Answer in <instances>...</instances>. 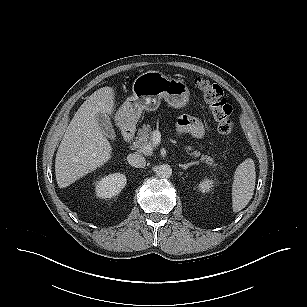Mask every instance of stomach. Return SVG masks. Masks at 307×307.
Wrapping results in <instances>:
<instances>
[{
  "instance_id": "obj_1",
  "label": "stomach",
  "mask_w": 307,
  "mask_h": 307,
  "mask_svg": "<svg viewBox=\"0 0 307 307\" xmlns=\"http://www.w3.org/2000/svg\"><path fill=\"white\" fill-rule=\"evenodd\" d=\"M132 92L133 96L126 99L115 116L122 128L134 127L143 110H157L162 98L175 109L185 107L190 99L189 88L183 80L169 78L158 71L139 75L132 84Z\"/></svg>"
}]
</instances>
